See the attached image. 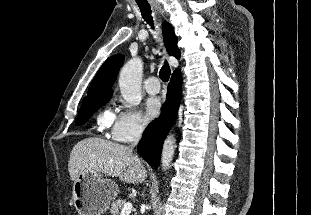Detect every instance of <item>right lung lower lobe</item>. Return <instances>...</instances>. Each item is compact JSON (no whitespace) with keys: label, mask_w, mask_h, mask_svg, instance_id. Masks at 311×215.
<instances>
[{"label":"right lung lower lobe","mask_w":311,"mask_h":215,"mask_svg":"<svg viewBox=\"0 0 311 215\" xmlns=\"http://www.w3.org/2000/svg\"><path fill=\"white\" fill-rule=\"evenodd\" d=\"M181 95L182 77L180 70H177L172 74L168 85L167 99L160 117L147 126L137 148L140 156L153 167L157 168L160 165L163 142L175 121Z\"/></svg>","instance_id":"right-lung-lower-lobe-1"}]
</instances>
